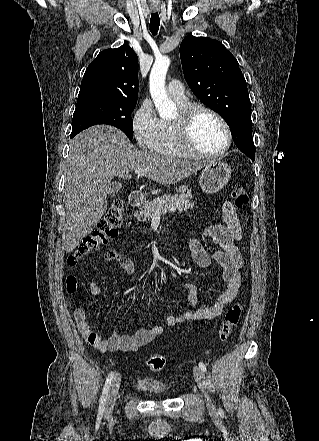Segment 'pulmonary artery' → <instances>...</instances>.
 I'll return each instance as SVG.
<instances>
[{"label":"pulmonary artery","instance_id":"e3ab8cb5","mask_svg":"<svg viewBox=\"0 0 319 441\" xmlns=\"http://www.w3.org/2000/svg\"><path fill=\"white\" fill-rule=\"evenodd\" d=\"M167 92L170 97L175 99L179 103H186L187 98L185 96L183 85L178 80H172L169 82Z\"/></svg>","mask_w":319,"mask_h":441}]
</instances>
